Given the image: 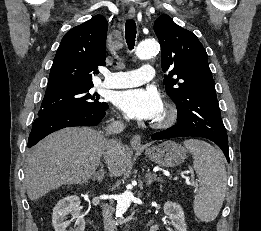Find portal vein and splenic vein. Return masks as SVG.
I'll list each match as a JSON object with an SVG mask.
<instances>
[{"label": "portal vein and splenic vein", "mask_w": 261, "mask_h": 231, "mask_svg": "<svg viewBox=\"0 0 261 231\" xmlns=\"http://www.w3.org/2000/svg\"><path fill=\"white\" fill-rule=\"evenodd\" d=\"M194 183H195L194 181L190 182L191 185L194 184Z\"/></svg>", "instance_id": "1"}]
</instances>
